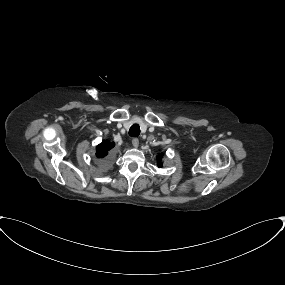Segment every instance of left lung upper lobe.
Masks as SVG:
<instances>
[{
	"mask_svg": "<svg viewBox=\"0 0 285 285\" xmlns=\"http://www.w3.org/2000/svg\"><path fill=\"white\" fill-rule=\"evenodd\" d=\"M157 157H158V160H159V163H158V165H162V164L160 163V160H161V156H160V155H158Z\"/></svg>",
	"mask_w": 285,
	"mask_h": 285,
	"instance_id": "5c2ea615",
	"label": "left lung upper lobe"
}]
</instances>
